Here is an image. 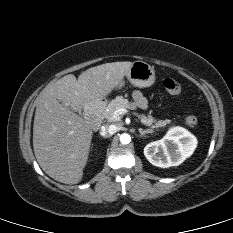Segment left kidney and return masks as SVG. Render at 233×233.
Returning <instances> with one entry per match:
<instances>
[{
	"mask_svg": "<svg viewBox=\"0 0 233 233\" xmlns=\"http://www.w3.org/2000/svg\"><path fill=\"white\" fill-rule=\"evenodd\" d=\"M197 146L196 137L182 127L171 129L161 140L144 148L148 161L157 167L168 168L181 164L191 156Z\"/></svg>",
	"mask_w": 233,
	"mask_h": 233,
	"instance_id": "5707ae66",
	"label": "left kidney"
}]
</instances>
